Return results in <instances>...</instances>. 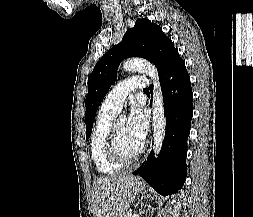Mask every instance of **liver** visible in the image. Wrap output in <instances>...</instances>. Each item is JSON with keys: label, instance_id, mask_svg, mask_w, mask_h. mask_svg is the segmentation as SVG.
Here are the masks:
<instances>
[{"label": "liver", "instance_id": "obj_1", "mask_svg": "<svg viewBox=\"0 0 253 217\" xmlns=\"http://www.w3.org/2000/svg\"><path fill=\"white\" fill-rule=\"evenodd\" d=\"M136 177L112 175L93 182L92 210L94 217H124L135 199Z\"/></svg>", "mask_w": 253, "mask_h": 217}]
</instances>
